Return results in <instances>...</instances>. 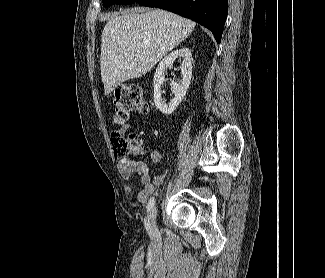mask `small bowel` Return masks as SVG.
<instances>
[{
    "mask_svg": "<svg viewBox=\"0 0 325 278\" xmlns=\"http://www.w3.org/2000/svg\"><path fill=\"white\" fill-rule=\"evenodd\" d=\"M129 127V123L124 124L121 128V132H126ZM149 157L151 162L157 163L162 160L163 154L158 149H151ZM119 172L126 180H131L134 175L139 177L140 184L142 185V189L138 193V200L140 202H145L154 191L155 187L160 185L164 180L163 175L152 176L148 163L145 161H131L130 163H125L123 161L119 165Z\"/></svg>",
    "mask_w": 325,
    "mask_h": 278,
    "instance_id": "obj_1",
    "label": "small bowel"
}]
</instances>
